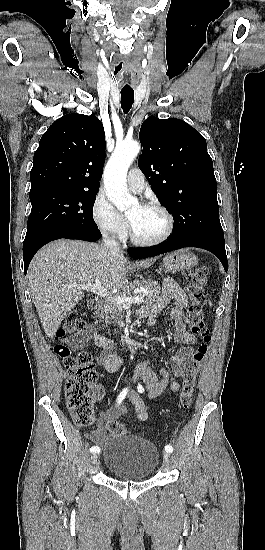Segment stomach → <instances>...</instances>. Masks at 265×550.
<instances>
[{"instance_id":"stomach-1","label":"stomach","mask_w":265,"mask_h":550,"mask_svg":"<svg viewBox=\"0 0 265 550\" xmlns=\"http://www.w3.org/2000/svg\"><path fill=\"white\" fill-rule=\"evenodd\" d=\"M197 263V257L187 250H179L173 253H169L162 259V266L167 272H180L189 270L197 265Z\"/></svg>"}]
</instances>
